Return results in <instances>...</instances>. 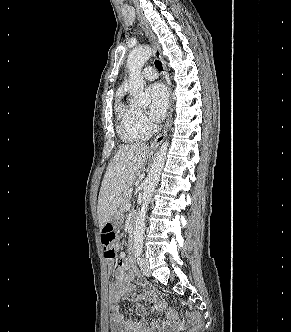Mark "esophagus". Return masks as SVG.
<instances>
[{
	"mask_svg": "<svg viewBox=\"0 0 291 332\" xmlns=\"http://www.w3.org/2000/svg\"><path fill=\"white\" fill-rule=\"evenodd\" d=\"M138 18H139L140 24H141L146 36L148 37V39H149V41H150V43L153 47V52H154L155 57L157 59H159L163 64V69H164V73H165V76H166V82H167V85H168L169 96H170L169 97V108H168V113H167V119H166L164 128H163L162 132L151 143V148H157L158 146L161 145V143L163 142V140L166 137L169 122H170V119L172 117V111H173L172 85H171V82H170V79H169V74H168V69H167V66H166V62L164 61V58H163L162 53H161L160 45H159L154 33L150 29V27L147 24V22L145 21V19L140 14H138Z\"/></svg>",
	"mask_w": 291,
	"mask_h": 332,
	"instance_id": "esophagus-1",
	"label": "esophagus"
}]
</instances>
